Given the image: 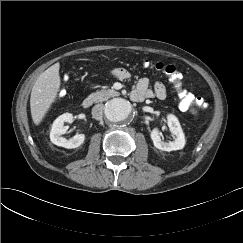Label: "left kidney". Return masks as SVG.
Returning <instances> with one entry per match:
<instances>
[{
	"label": "left kidney",
	"instance_id": "obj_1",
	"mask_svg": "<svg viewBox=\"0 0 243 243\" xmlns=\"http://www.w3.org/2000/svg\"><path fill=\"white\" fill-rule=\"evenodd\" d=\"M167 124L170 132L174 135L175 140L172 142L163 141L161 139L162 134L159 131V129L154 128L150 133L154 146L160 150L168 151V152L182 149L186 141H185V135L182 131V128L180 126L177 117L173 114H169L167 116Z\"/></svg>",
	"mask_w": 243,
	"mask_h": 243
}]
</instances>
